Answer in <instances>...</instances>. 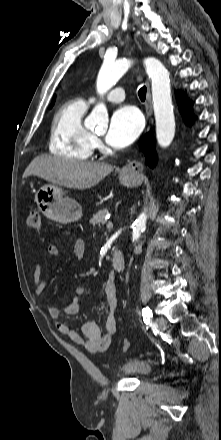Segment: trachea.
<instances>
[{
	"label": "trachea",
	"mask_w": 221,
	"mask_h": 440,
	"mask_svg": "<svg viewBox=\"0 0 221 440\" xmlns=\"http://www.w3.org/2000/svg\"><path fill=\"white\" fill-rule=\"evenodd\" d=\"M146 91H147V89H146L145 86H143V87H141V88L139 89V91H138V95H139V98H140L141 101H144V100H145V98H146Z\"/></svg>",
	"instance_id": "obj_1"
}]
</instances>
